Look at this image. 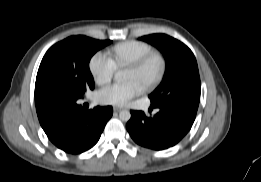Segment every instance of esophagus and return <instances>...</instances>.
Masks as SVG:
<instances>
[{
  "label": "esophagus",
  "instance_id": "34e87169",
  "mask_svg": "<svg viewBox=\"0 0 261 182\" xmlns=\"http://www.w3.org/2000/svg\"><path fill=\"white\" fill-rule=\"evenodd\" d=\"M124 108H122V107H114L113 108V110L115 111V112H119V111H121V110H123Z\"/></svg>",
  "mask_w": 261,
  "mask_h": 182
}]
</instances>
